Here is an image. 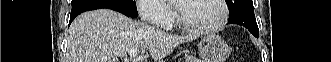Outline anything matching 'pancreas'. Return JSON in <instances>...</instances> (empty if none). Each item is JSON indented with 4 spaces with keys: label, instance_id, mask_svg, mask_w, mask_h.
I'll return each mask as SVG.
<instances>
[{
    "label": "pancreas",
    "instance_id": "pancreas-1",
    "mask_svg": "<svg viewBox=\"0 0 331 62\" xmlns=\"http://www.w3.org/2000/svg\"><path fill=\"white\" fill-rule=\"evenodd\" d=\"M185 59H186V62H200V60L198 58H195L193 56H190V55H185Z\"/></svg>",
    "mask_w": 331,
    "mask_h": 62
}]
</instances>
